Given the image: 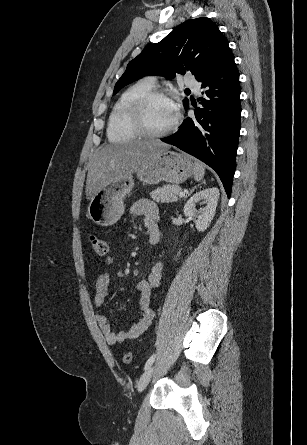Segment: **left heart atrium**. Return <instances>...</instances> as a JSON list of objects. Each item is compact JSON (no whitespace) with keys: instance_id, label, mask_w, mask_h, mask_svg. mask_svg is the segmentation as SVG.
<instances>
[{"instance_id":"1","label":"left heart atrium","mask_w":307,"mask_h":445,"mask_svg":"<svg viewBox=\"0 0 307 445\" xmlns=\"http://www.w3.org/2000/svg\"><path fill=\"white\" fill-rule=\"evenodd\" d=\"M173 111L176 113V105L174 103H171Z\"/></svg>"}]
</instances>
